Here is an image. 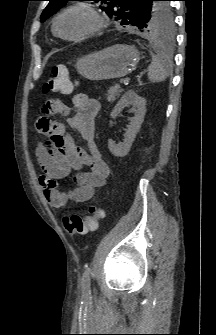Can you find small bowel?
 <instances>
[{"mask_svg": "<svg viewBox=\"0 0 216 335\" xmlns=\"http://www.w3.org/2000/svg\"><path fill=\"white\" fill-rule=\"evenodd\" d=\"M48 102L42 110L52 115H63L66 125L52 122L43 116L37 119L34 128L37 135H45V140L36 145L35 154L41 168L39 182L43 193L53 208L61 209L68 203H83L94 197L96 189L103 187L109 176V167L102 159L95 140V118L100 111V103L86 94L78 93L71 104H64L62 98L47 96ZM72 111L74 112L72 114ZM67 127L76 130L86 144L79 146ZM75 187L63 192L58 181L72 171Z\"/></svg>", "mask_w": 216, "mask_h": 335, "instance_id": "c3829d8e", "label": "small bowel"}]
</instances>
